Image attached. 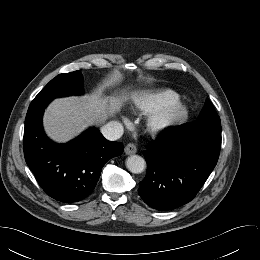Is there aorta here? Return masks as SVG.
<instances>
[{
  "label": "aorta",
  "mask_w": 260,
  "mask_h": 260,
  "mask_svg": "<svg viewBox=\"0 0 260 260\" xmlns=\"http://www.w3.org/2000/svg\"><path fill=\"white\" fill-rule=\"evenodd\" d=\"M145 166V159L139 155H131L126 159V167L132 173H142L145 169Z\"/></svg>",
  "instance_id": "762f6f07"
}]
</instances>
